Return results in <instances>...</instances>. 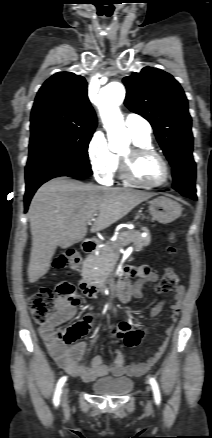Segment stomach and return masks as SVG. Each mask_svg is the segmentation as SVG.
I'll use <instances>...</instances> for the list:
<instances>
[{
    "instance_id": "0dacf381",
    "label": "stomach",
    "mask_w": 212,
    "mask_h": 438,
    "mask_svg": "<svg viewBox=\"0 0 212 438\" xmlns=\"http://www.w3.org/2000/svg\"><path fill=\"white\" fill-rule=\"evenodd\" d=\"M149 212L154 220L161 224H168L181 215L182 207L176 201L160 196L151 201Z\"/></svg>"
}]
</instances>
